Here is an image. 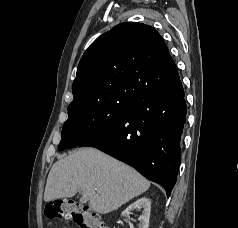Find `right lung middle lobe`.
<instances>
[{
    "label": "right lung middle lobe",
    "instance_id": "obj_1",
    "mask_svg": "<svg viewBox=\"0 0 238 228\" xmlns=\"http://www.w3.org/2000/svg\"><path fill=\"white\" fill-rule=\"evenodd\" d=\"M128 104H97L68 113L69 118L62 129L58 149H70L102 132L116 121Z\"/></svg>",
    "mask_w": 238,
    "mask_h": 228
}]
</instances>
